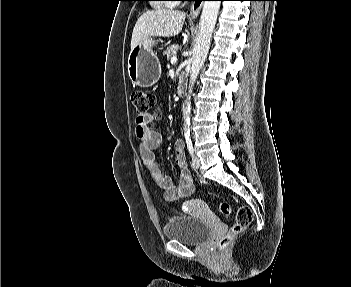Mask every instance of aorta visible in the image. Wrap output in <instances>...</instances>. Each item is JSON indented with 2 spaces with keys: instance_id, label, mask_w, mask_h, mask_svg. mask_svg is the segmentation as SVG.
<instances>
[{
  "instance_id": "1",
  "label": "aorta",
  "mask_w": 351,
  "mask_h": 287,
  "mask_svg": "<svg viewBox=\"0 0 351 287\" xmlns=\"http://www.w3.org/2000/svg\"><path fill=\"white\" fill-rule=\"evenodd\" d=\"M220 1H205L199 23V32L192 55V66L190 72L189 94L184 106L185 126L190 123L191 102L190 94L195 84L200 69L202 68L210 48L212 33L216 24L220 8Z\"/></svg>"
}]
</instances>
